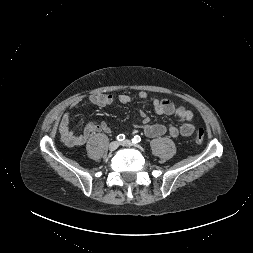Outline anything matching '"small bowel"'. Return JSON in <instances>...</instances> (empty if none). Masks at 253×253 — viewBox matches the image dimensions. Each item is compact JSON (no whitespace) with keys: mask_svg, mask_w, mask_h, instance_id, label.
<instances>
[{"mask_svg":"<svg viewBox=\"0 0 253 253\" xmlns=\"http://www.w3.org/2000/svg\"><path fill=\"white\" fill-rule=\"evenodd\" d=\"M138 99L147 100L150 99L154 110L159 115L175 116L180 125H163V124H151L149 117L140 112V122L135 126L143 130L148 137H159L162 135H169L170 137H189L194 132L195 126L193 124V113L184 106H177L168 99H158L155 97H149L146 92H140ZM133 97L127 94H121L118 100L122 104H127L133 101ZM113 102V96L107 93H95L89 96L88 103L98 107H106ZM80 103L79 99L72 102V108H76ZM71 116L69 113H65L59 124V132L62 142L68 147H79L86 143L88 138L93 134L104 131L109 133L110 127L105 122H88L80 134H75L70 127Z\"/></svg>","mask_w":253,"mask_h":253,"instance_id":"c3829d8e","label":"small bowel"}]
</instances>
